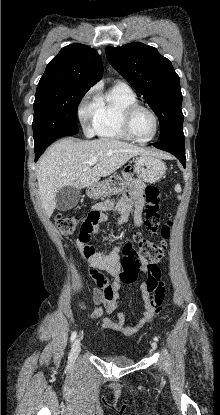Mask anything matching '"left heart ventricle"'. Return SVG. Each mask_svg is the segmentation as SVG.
I'll return each instance as SVG.
<instances>
[{
  "label": "left heart ventricle",
  "instance_id": "left-heart-ventricle-1",
  "mask_svg": "<svg viewBox=\"0 0 220 415\" xmlns=\"http://www.w3.org/2000/svg\"><path fill=\"white\" fill-rule=\"evenodd\" d=\"M154 128V120L147 111L139 109L132 116L131 129L137 138H149L154 133Z\"/></svg>",
  "mask_w": 220,
  "mask_h": 415
}]
</instances>
